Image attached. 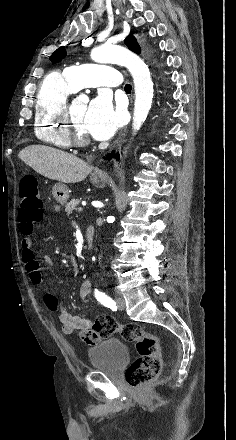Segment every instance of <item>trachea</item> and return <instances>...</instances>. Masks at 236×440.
<instances>
[{
	"instance_id": "obj_1",
	"label": "trachea",
	"mask_w": 236,
	"mask_h": 440,
	"mask_svg": "<svg viewBox=\"0 0 236 440\" xmlns=\"http://www.w3.org/2000/svg\"><path fill=\"white\" fill-rule=\"evenodd\" d=\"M132 86L130 84L125 85V91H131Z\"/></svg>"
}]
</instances>
